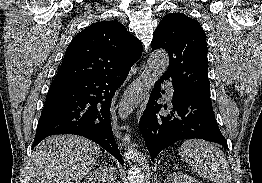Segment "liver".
<instances>
[{
  "label": "liver",
  "instance_id": "6515ba94",
  "mask_svg": "<svg viewBox=\"0 0 262 183\" xmlns=\"http://www.w3.org/2000/svg\"><path fill=\"white\" fill-rule=\"evenodd\" d=\"M99 154V146L81 136L67 134L46 138L32 154L27 183H80Z\"/></svg>",
  "mask_w": 262,
  "mask_h": 183
}]
</instances>
